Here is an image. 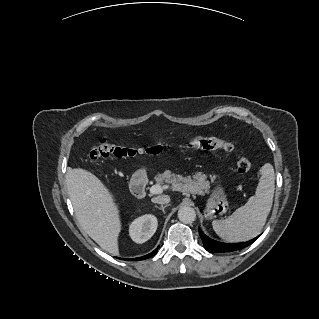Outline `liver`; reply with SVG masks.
<instances>
[{
    "label": "liver",
    "instance_id": "obj_1",
    "mask_svg": "<svg viewBox=\"0 0 319 319\" xmlns=\"http://www.w3.org/2000/svg\"><path fill=\"white\" fill-rule=\"evenodd\" d=\"M67 188L82 229L104 251L118 255L122 226L113 194L94 174L80 168L68 172Z\"/></svg>",
    "mask_w": 319,
    "mask_h": 319
}]
</instances>
